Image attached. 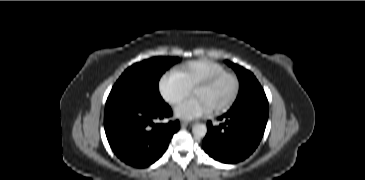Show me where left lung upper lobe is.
<instances>
[{"label":"left lung upper lobe","instance_id":"5c2ea615","mask_svg":"<svg viewBox=\"0 0 365 180\" xmlns=\"http://www.w3.org/2000/svg\"><path fill=\"white\" fill-rule=\"evenodd\" d=\"M228 65L235 70L239 79V93L235 102L265 94L261 84L252 72L232 62H228Z\"/></svg>","mask_w":365,"mask_h":180}]
</instances>
